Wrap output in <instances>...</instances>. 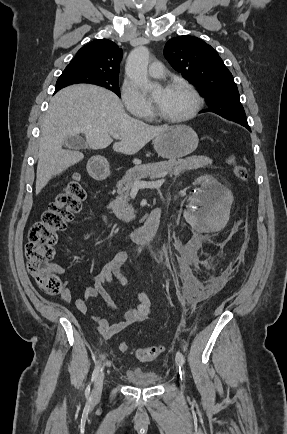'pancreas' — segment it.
Here are the masks:
<instances>
[{
    "label": "pancreas",
    "instance_id": "cf45deb5",
    "mask_svg": "<svg viewBox=\"0 0 287 434\" xmlns=\"http://www.w3.org/2000/svg\"><path fill=\"white\" fill-rule=\"evenodd\" d=\"M212 160L205 156H192L185 159L161 161L138 165L127 171L117 184L118 197L111 202V209L118 219L129 222L135 218L136 211L129 203L130 190L136 180L154 179L163 174L178 176L184 171L210 166Z\"/></svg>",
    "mask_w": 287,
    "mask_h": 434
}]
</instances>
